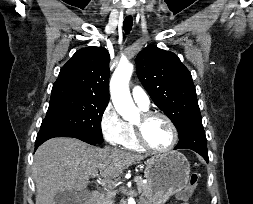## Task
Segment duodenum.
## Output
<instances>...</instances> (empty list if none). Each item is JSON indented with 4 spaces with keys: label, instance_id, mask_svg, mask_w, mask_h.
Returning <instances> with one entry per match:
<instances>
[{
    "label": "duodenum",
    "instance_id": "1",
    "mask_svg": "<svg viewBox=\"0 0 253 204\" xmlns=\"http://www.w3.org/2000/svg\"><path fill=\"white\" fill-rule=\"evenodd\" d=\"M99 192L98 191H93L91 194L90 201L87 204H97L99 200Z\"/></svg>",
    "mask_w": 253,
    "mask_h": 204
}]
</instances>
